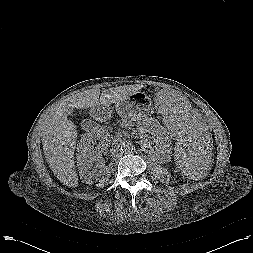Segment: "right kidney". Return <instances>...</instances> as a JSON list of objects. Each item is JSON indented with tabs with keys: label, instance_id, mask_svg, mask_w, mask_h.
<instances>
[{
	"label": "right kidney",
	"instance_id": "ca27d5eb",
	"mask_svg": "<svg viewBox=\"0 0 253 253\" xmlns=\"http://www.w3.org/2000/svg\"><path fill=\"white\" fill-rule=\"evenodd\" d=\"M108 145L109 139L101 130L88 131L81 136L76 155L79 175L83 182L91 184L100 178L101 169H92V167L94 163L101 161L102 153ZM101 166H104V163Z\"/></svg>",
	"mask_w": 253,
	"mask_h": 253
}]
</instances>
